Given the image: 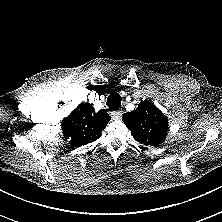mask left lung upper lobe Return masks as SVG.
Masks as SVG:
<instances>
[{"instance_id": "1", "label": "left lung upper lobe", "mask_w": 222, "mask_h": 222, "mask_svg": "<svg viewBox=\"0 0 222 222\" xmlns=\"http://www.w3.org/2000/svg\"><path fill=\"white\" fill-rule=\"evenodd\" d=\"M122 120L141 144L158 146L166 139L168 119L147 100L141 101L136 110L123 114Z\"/></svg>"}]
</instances>
